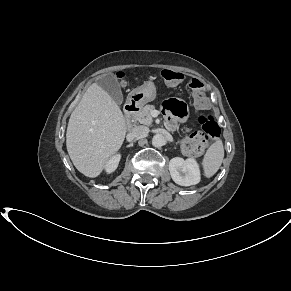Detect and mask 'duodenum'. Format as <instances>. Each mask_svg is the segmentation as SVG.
<instances>
[{"instance_id": "1", "label": "duodenum", "mask_w": 291, "mask_h": 291, "mask_svg": "<svg viewBox=\"0 0 291 291\" xmlns=\"http://www.w3.org/2000/svg\"><path fill=\"white\" fill-rule=\"evenodd\" d=\"M138 110H139V107L135 102H129L125 105L124 116L128 123H130V121L136 115Z\"/></svg>"}]
</instances>
